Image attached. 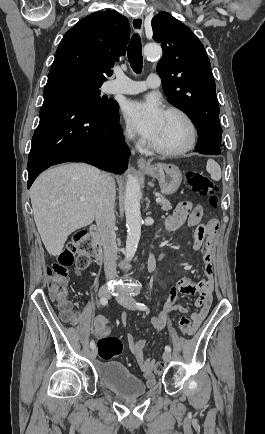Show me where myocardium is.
Segmentation results:
<instances>
[{"mask_svg": "<svg viewBox=\"0 0 265 434\" xmlns=\"http://www.w3.org/2000/svg\"><path fill=\"white\" fill-rule=\"evenodd\" d=\"M165 114L171 115H177L180 117L187 126V139L186 142L177 149L172 150H165L160 149L155 146H153L151 143H149V149L156 155L162 156V157H180L191 151L196 144L197 141V128L193 121V119L189 116V114L184 111L182 108L178 106H170L166 109Z\"/></svg>", "mask_w": 265, "mask_h": 434, "instance_id": "myocardium-1", "label": "myocardium"}]
</instances>
